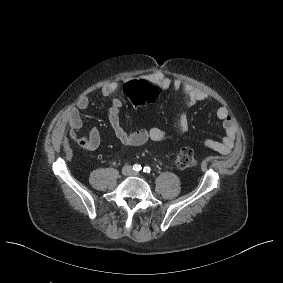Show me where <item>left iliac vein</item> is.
<instances>
[{"label":"left iliac vein","instance_id":"left-iliac-vein-1","mask_svg":"<svg viewBox=\"0 0 283 283\" xmlns=\"http://www.w3.org/2000/svg\"><path fill=\"white\" fill-rule=\"evenodd\" d=\"M133 176H139V174L137 172H132L131 173Z\"/></svg>","mask_w":283,"mask_h":283}]
</instances>
